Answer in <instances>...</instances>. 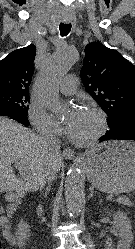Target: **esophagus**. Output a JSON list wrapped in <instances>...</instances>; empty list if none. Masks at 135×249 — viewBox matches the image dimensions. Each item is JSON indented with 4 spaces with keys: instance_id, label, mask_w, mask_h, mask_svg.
Listing matches in <instances>:
<instances>
[{
    "instance_id": "esophagus-1",
    "label": "esophagus",
    "mask_w": 135,
    "mask_h": 249,
    "mask_svg": "<svg viewBox=\"0 0 135 249\" xmlns=\"http://www.w3.org/2000/svg\"><path fill=\"white\" fill-rule=\"evenodd\" d=\"M62 155L65 157V158H68V159H73L75 158V153L74 151L71 149V148H65L62 152Z\"/></svg>"
}]
</instances>
